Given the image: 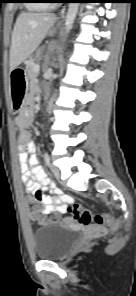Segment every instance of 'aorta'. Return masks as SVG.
I'll return each mask as SVG.
<instances>
[{
	"instance_id": "obj_1",
	"label": "aorta",
	"mask_w": 136,
	"mask_h": 296,
	"mask_svg": "<svg viewBox=\"0 0 136 296\" xmlns=\"http://www.w3.org/2000/svg\"><path fill=\"white\" fill-rule=\"evenodd\" d=\"M79 3H69L65 17V33L68 34L73 27Z\"/></svg>"
}]
</instances>
